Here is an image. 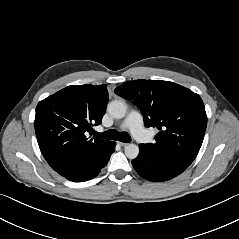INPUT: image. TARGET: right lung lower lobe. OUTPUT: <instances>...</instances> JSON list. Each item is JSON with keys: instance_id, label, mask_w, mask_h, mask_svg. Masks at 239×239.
Returning a JSON list of instances; mask_svg holds the SVG:
<instances>
[{"instance_id": "98d812e1", "label": "right lung lower lobe", "mask_w": 239, "mask_h": 239, "mask_svg": "<svg viewBox=\"0 0 239 239\" xmlns=\"http://www.w3.org/2000/svg\"><path fill=\"white\" fill-rule=\"evenodd\" d=\"M115 145V142L110 141L96 158L72 162L60 175L73 182H83L96 177L108 163L111 154L115 151Z\"/></svg>"}]
</instances>
